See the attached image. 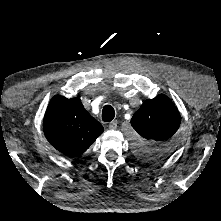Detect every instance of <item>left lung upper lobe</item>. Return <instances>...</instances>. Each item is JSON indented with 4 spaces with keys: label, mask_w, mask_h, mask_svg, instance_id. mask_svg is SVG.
Returning <instances> with one entry per match:
<instances>
[{
    "label": "left lung upper lobe",
    "mask_w": 221,
    "mask_h": 221,
    "mask_svg": "<svg viewBox=\"0 0 221 221\" xmlns=\"http://www.w3.org/2000/svg\"><path fill=\"white\" fill-rule=\"evenodd\" d=\"M180 121L177 108L166 95L147 99L131 119L138 156L153 163L167 159L174 150Z\"/></svg>",
    "instance_id": "1"
}]
</instances>
